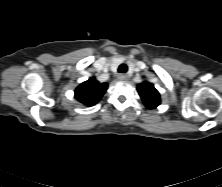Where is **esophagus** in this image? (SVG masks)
Here are the masks:
<instances>
[{"mask_svg": "<svg viewBox=\"0 0 222 187\" xmlns=\"http://www.w3.org/2000/svg\"><path fill=\"white\" fill-rule=\"evenodd\" d=\"M128 79V76L125 74L118 75V80L120 81H126Z\"/></svg>", "mask_w": 222, "mask_h": 187, "instance_id": "1", "label": "esophagus"}]
</instances>
